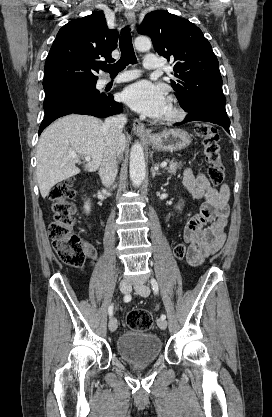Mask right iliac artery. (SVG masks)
<instances>
[{"mask_svg":"<svg viewBox=\"0 0 272 417\" xmlns=\"http://www.w3.org/2000/svg\"><path fill=\"white\" fill-rule=\"evenodd\" d=\"M124 302H129L131 300V295L127 294L123 298ZM108 314L111 317L113 315V305L111 304L108 308Z\"/></svg>","mask_w":272,"mask_h":417,"instance_id":"right-iliac-artery-1","label":"right iliac artery"}]
</instances>
